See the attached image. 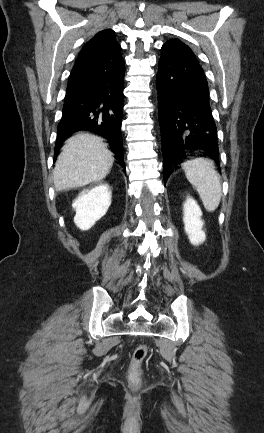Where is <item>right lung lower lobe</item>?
<instances>
[{
  "instance_id": "obj_1",
  "label": "right lung lower lobe",
  "mask_w": 264,
  "mask_h": 433,
  "mask_svg": "<svg viewBox=\"0 0 264 433\" xmlns=\"http://www.w3.org/2000/svg\"><path fill=\"white\" fill-rule=\"evenodd\" d=\"M123 59L78 58L68 81L55 151L73 132L89 130L108 139L115 158L125 167L121 135L124 106Z\"/></svg>"
}]
</instances>
